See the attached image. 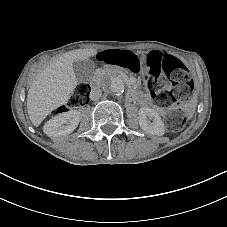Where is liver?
I'll return each instance as SVG.
<instances>
[{
    "mask_svg": "<svg viewBox=\"0 0 227 227\" xmlns=\"http://www.w3.org/2000/svg\"><path fill=\"white\" fill-rule=\"evenodd\" d=\"M95 49H75L54 60L40 71L27 94V112L31 123L38 127L55 109L66 105L77 86L73 63L95 56Z\"/></svg>",
    "mask_w": 227,
    "mask_h": 227,
    "instance_id": "obj_1",
    "label": "liver"
}]
</instances>
